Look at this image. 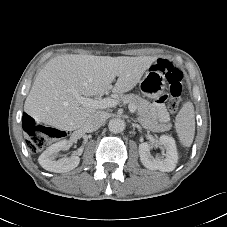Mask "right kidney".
I'll return each instance as SVG.
<instances>
[{"mask_svg":"<svg viewBox=\"0 0 227 227\" xmlns=\"http://www.w3.org/2000/svg\"><path fill=\"white\" fill-rule=\"evenodd\" d=\"M67 147V141L61 140L48 147L38 158L39 164L47 171L63 173L73 170L79 165L80 158L72 156L70 158L63 157L56 160V155L59 151Z\"/></svg>","mask_w":227,"mask_h":227,"instance_id":"ca27d5eb","label":"right kidney"}]
</instances>
